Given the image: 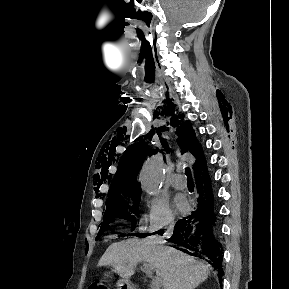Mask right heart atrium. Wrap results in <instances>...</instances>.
Here are the masks:
<instances>
[{
	"instance_id": "d8ad5b80",
	"label": "right heart atrium",
	"mask_w": 289,
	"mask_h": 289,
	"mask_svg": "<svg viewBox=\"0 0 289 289\" xmlns=\"http://www.w3.org/2000/svg\"><path fill=\"white\" fill-rule=\"evenodd\" d=\"M143 201L147 211L142 227L144 231L154 233L174 225L175 215L165 195H147Z\"/></svg>"
}]
</instances>
